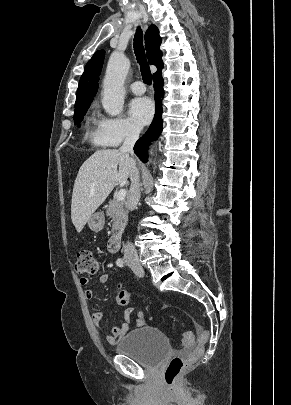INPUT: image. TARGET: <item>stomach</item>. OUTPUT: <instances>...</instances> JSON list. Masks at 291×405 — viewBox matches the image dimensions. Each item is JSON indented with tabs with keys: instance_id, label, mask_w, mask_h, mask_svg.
Segmentation results:
<instances>
[{
	"instance_id": "0dacf381",
	"label": "stomach",
	"mask_w": 291,
	"mask_h": 405,
	"mask_svg": "<svg viewBox=\"0 0 291 405\" xmlns=\"http://www.w3.org/2000/svg\"><path fill=\"white\" fill-rule=\"evenodd\" d=\"M89 228L92 231L99 232L103 229L105 224V217L103 212H96L91 215L87 221Z\"/></svg>"
}]
</instances>
